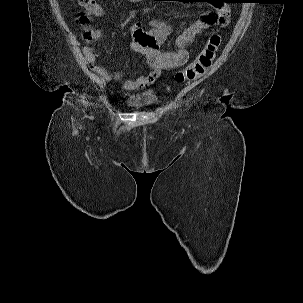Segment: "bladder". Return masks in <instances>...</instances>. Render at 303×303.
Masks as SVG:
<instances>
[{
    "instance_id": "31cf9c89",
    "label": "bladder",
    "mask_w": 303,
    "mask_h": 303,
    "mask_svg": "<svg viewBox=\"0 0 303 303\" xmlns=\"http://www.w3.org/2000/svg\"><path fill=\"white\" fill-rule=\"evenodd\" d=\"M156 97L152 95L131 94L126 99V104L132 109H143L154 105Z\"/></svg>"
}]
</instances>
